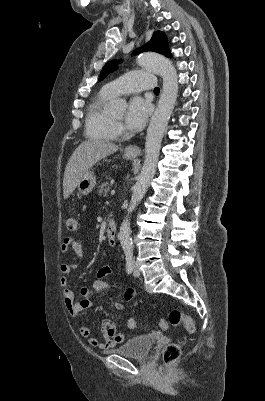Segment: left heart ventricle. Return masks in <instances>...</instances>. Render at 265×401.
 Returning a JSON list of instances; mask_svg holds the SVG:
<instances>
[{
	"label": "left heart ventricle",
	"instance_id": "left-heart-ventricle-1",
	"mask_svg": "<svg viewBox=\"0 0 265 401\" xmlns=\"http://www.w3.org/2000/svg\"><path fill=\"white\" fill-rule=\"evenodd\" d=\"M113 118H114V120H115L116 122H121V121H122V118H123V115H117V116H114Z\"/></svg>",
	"mask_w": 265,
	"mask_h": 401
}]
</instances>
